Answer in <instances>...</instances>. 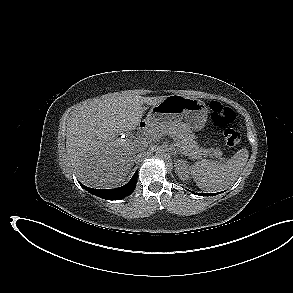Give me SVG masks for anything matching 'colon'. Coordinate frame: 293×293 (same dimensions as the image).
<instances>
[{"instance_id":"colon-1","label":"colon","mask_w":293,"mask_h":293,"mask_svg":"<svg viewBox=\"0 0 293 293\" xmlns=\"http://www.w3.org/2000/svg\"><path fill=\"white\" fill-rule=\"evenodd\" d=\"M209 108L211 120L218 129L222 130L227 147L230 149L236 148L241 141V135L234 128L236 121L234 111L218 101L210 102Z\"/></svg>"}]
</instances>
